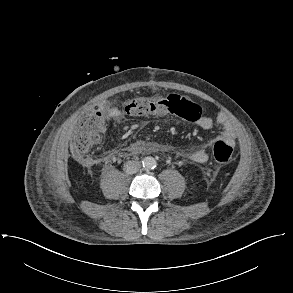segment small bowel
<instances>
[{
    "instance_id": "obj_1",
    "label": "small bowel",
    "mask_w": 293,
    "mask_h": 293,
    "mask_svg": "<svg viewBox=\"0 0 293 293\" xmlns=\"http://www.w3.org/2000/svg\"><path fill=\"white\" fill-rule=\"evenodd\" d=\"M103 111L111 118L120 121L123 118V114L121 110L116 107L112 106L109 104H104L102 105ZM222 132L218 139H221L225 142H227L229 145L234 147L236 145L237 141V134L235 131V128L231 123L228 121H222ZM197 127L204 129V130H209L212 129L215 125L214 121L208 117V116H201L197 121H196ZM214 141H209L204 147L193 150L187 154V157L197 163H204L208 160L209 155H208V150L211 148L213 145ZM94 160L91 158L86 159L87 164H94Z\"/></svg>"
}]
</instances>
